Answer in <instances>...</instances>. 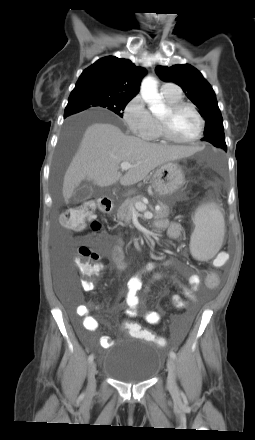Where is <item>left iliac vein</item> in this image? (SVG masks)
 Listing matches in <instances>:
<instances>
[{
    "mask_svg": "<svg viewBox=\"0 0 255 440\" xmlns=\"http://www.w3.org/2000/svg\"><path fill=\"white\" fill-rule=\"evenodd\" d=\"M167 370H168V378H167V384L168 388L170 390L176 389V365L173 358H169L167 360Z\"/></svg>",
    "mask_w": 255,
    "mask_h": 440,
    "instance_id": "left-iliac-vein-1",
    "label": "left iliac vein"
}]
</instances>
